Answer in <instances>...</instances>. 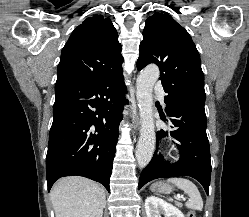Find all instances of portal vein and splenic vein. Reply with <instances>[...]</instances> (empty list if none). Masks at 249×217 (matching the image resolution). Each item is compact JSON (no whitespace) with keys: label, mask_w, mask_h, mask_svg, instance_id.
I'll return each mask as SVG.
<instances>
[{"label":"portal vein and splenic vein","mask_w":249,"mask_h":217,"mask_svg":"<svg viewBox=\"0 0 249 217\" xmlns=\"http://www.w3.org/2000/svg\"><path fill=\"white\" fill-rule=\"evenodd\" d=\"M177 199H185L184 196L177 195Z\"/></svg>","instance_id":"portal-vein-and-splenic-vein-1"}]
</instances>
